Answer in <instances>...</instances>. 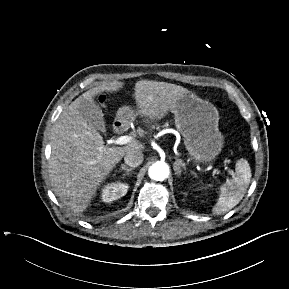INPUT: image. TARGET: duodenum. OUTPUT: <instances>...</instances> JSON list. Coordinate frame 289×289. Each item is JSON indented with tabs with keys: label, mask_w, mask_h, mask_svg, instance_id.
<instances>
[{
	"label": "duodenum",
	"mask_w": 289,
	"mask_h": 289,
	"mask_svg": "<svg viewBox=\"0 0 289 289\" xmlns=\"http://www.w3.org/2000/svg\"><path fill=\"white\" fill-rule=\"evenodd\" d=\"M129 127V123L125 119H119L114 123V131L118 134L125 132Z\"/></svg>",
	"instance_id": "obj_1"
}]
</instances>
